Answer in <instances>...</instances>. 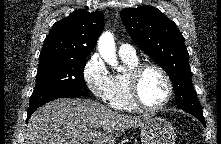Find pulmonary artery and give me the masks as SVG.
<instances>
[{
  "mask_svg": "<svg viewBox=\"0 0 221 144\" xmlns=\"http://www.w3.org/2000/svg\"><path fill=\"white\" fill-rule=\"evenodd\" d=\"M118 53L120 57H125L130 59L137 58L135 49L129 44H121Z\"/></svg>",
  "mask_w": 221,
  "mask_h": 144,
  "instance_id": "pulmonary-artery-1",
  "label": "pulmonary artery"
}]
</instances>
